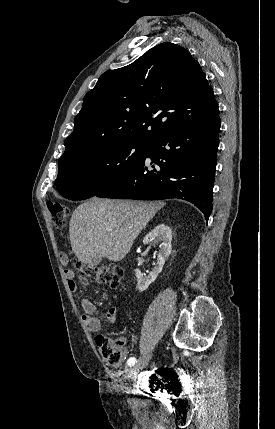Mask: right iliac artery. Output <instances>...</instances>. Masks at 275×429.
Instances as JSON below:
<instances>
[{"mask_svg":"<svg viewBox=\"0 0 275 429\" xmlns=\"http://www.w3.org/2000/svg\"><path fill=\"white\" fill-rule=\"evenodd\" d=\"M136 362H137L136 358L135 357H131V358L128 359L127 364L129 366H133Z\"/></svg>","mask_w":275,"mask_h":429,"instance_id":"1","label":"right iliac artery"}]
</instances>
